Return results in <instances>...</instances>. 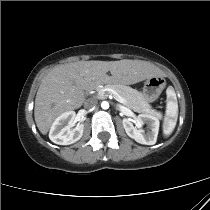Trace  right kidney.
<instances>
[{"instance_id":"obj_1","label":"right kidney","mask_w":210,"mask_h":210,"mask_svg":"<svg viewBox=\"0 0 210 210\" xmlns=\"http://www.w3.org/2000/svg\"><path fill=\"white\" fill-rule=\"evenodd\" d=\"M75 112L67 111L61 114L53 122L49 138L50 140L59 145H70L78 141L84 130V125H77L75 128L71 129V126L74 124Z\"/></svg>"}]
</instances>
